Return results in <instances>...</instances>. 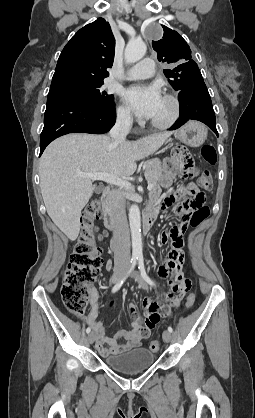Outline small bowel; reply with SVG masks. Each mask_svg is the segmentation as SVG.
Wrapping results in <instances>:
<instances>
[{
	"label": "small bowel",
	"instance_id": "c3829d8e",
	"mask_svg": "<svg viewBox=\"0 0 255 418\" xmlns=\"http://www.w3.org/2000/svg\"><path fill=\"white\" fill-rule=\"evenodd\" d=\"M172 153L171 160L166 163L162 176L163 186L171 184L177 170L181 165L183 166V163L193 162V155L189 154L188 147H173ZM191 186H182L176 190L174 195L164 197L161 207H169L176 199H182L186 194L191 193ZM152 198L154 201L159 200V189L152 193ZM185 235V227H173L167 228L166 234H162L160 237V244L166 245L169 242V247L164 248L165 256L157 271L161 278L167 279L169 290L166 295V303H160L150 298L144 300L143 307L146 313L143 327L134 319L130 329L121 330L114 337L106 336L105 327L96 320L98 316V293L94 288H90L91 310L87 322L93 328L96 347L102 356L120 354L137 347L142 339L149 336L151 329L160 320H168L172 311L179 309L182 301L187 299L191 291V275L185 274L184 271L185 242L183 236ZM109 268L110 264L107 263L106 269ZM110 305L112 306L113 303ZM131 309L133 310V307ZM120 339H124L125 342L119 343Z\"/></svg>",
	"mask_w": 255,
	"mask_h": 418
}]
</instances>
